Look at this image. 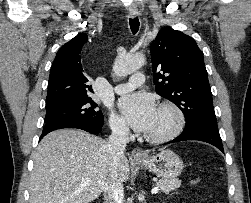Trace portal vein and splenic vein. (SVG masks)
<instances>
[{"mask_svg":"<svg viewBox=\"0 0 251 203\" xmlns=\"http://www.w3.org/2000/svg\"><path fill=\"white\" fill-rule=\"evenodd\" d=\"M89 182H90V180H85V181H84L85 184H87V183H89ZM158 191H159V186L157 185V186H155V187L151 190V193H152V194H156Z\"/></svg>","mask_w":251,"mask_h":203,"instance_id":"obj_1","label":"portal vein and splenic vein"}]
</instances>
